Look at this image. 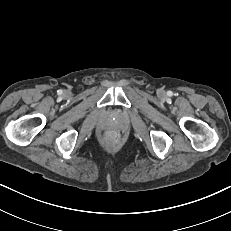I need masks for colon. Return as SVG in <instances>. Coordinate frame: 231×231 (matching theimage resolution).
<instances>
[{
    "label": "colon",
    "mask_w": 231,
    "mask_h": 231,
    "mask_svg": "<svg viewBox=\"0 0 231 231\" xmlns=\"http://www.w3.org/2000/svg\"><path fill=\"white\" fill-rule=\"evenodd\" d=\"M107 139L113 140V139H115V136L113 134H108Z\"/></svg>",
    "instance_id": "colon-1"
}]
</instances>
